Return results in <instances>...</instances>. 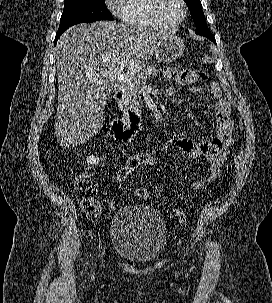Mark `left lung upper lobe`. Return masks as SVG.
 Listing matches in <instances>:
<instances>
[{"label":"left lung upper lobe","instance_id":"left-lung-upper-lobe-1","mask_svg":"<svg viewBox=\"0 0 272 303\" xmlns=\"http://www.w3.org/2000/svg\"><path fill=\"white\" fill-rule=\"evenodd\" d=\"M190 10L191 16L194 20V23L196 25V34L202 35V36H212L206 20L205 15L202 10V5L200 0H184Z\"/></svg>","mask_w":272,"mask_h":303}]
</instances>
